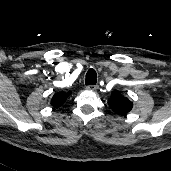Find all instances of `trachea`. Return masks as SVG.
I'll list each match as a JSON object with an SVG mask.
<instances>
[{
  "mask_svg": "<svg viewBox=\"0 0 171 171\" xmlns=\"http://www.w3.org/2000/svg\"><path fill=\"white\" fill-rule=\"evenodd\" d=\"M96 82H97L96 71L91 68L86 73L85 84L86 85L96 84Z\"/></svg>",
  "mask_w": 171,
  "mask_h": 171,
  "instance_id": "1",
  "label": "trachea"
}]
</instances>
